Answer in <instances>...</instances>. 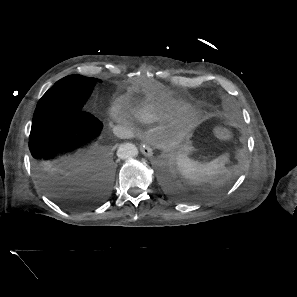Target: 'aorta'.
<instances>
[{"instance_id": "1", "label": "aorta", "mask_w": 297, "mask_h": 297, "mask_svg": "<svg viewBox=\"0 0 297 297\" xmlns=\"http://www.w3.org/2000/svg\"><path fill=\"white\" fill-rule=\"evenodd\" d=\"M137 155H138V149L132 143L121 144L117 151V156L123 160L132 159Z\"/></svg>"}]
</instances>
